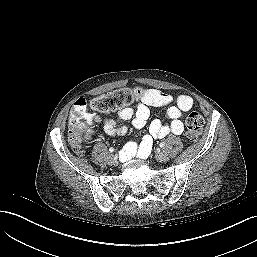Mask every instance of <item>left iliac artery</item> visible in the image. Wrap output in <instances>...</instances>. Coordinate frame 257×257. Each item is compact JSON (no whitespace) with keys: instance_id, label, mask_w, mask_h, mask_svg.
I'll list each match as a JSON object with an SVG mask.
<instances>
[{"instance_id":"1","label":"left iliac artery","mask_w":257,"mask_h":257,"mask_svg":"<svg viewBox=\"0 0 257 257\" xmlns=\"http://www.w3.org/2000/svg\"><path fill=\"white\" fill-rule=\"evenodd\" d=\"M160 147L162 148V147H165V142H161L160 143Z\"/></svg>"}]
</instances>
